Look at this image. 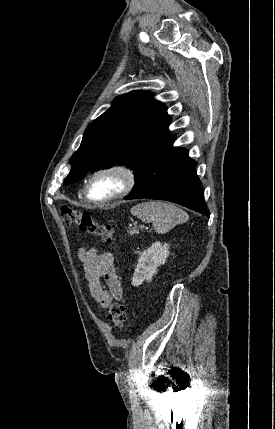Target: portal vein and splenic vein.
I'll return each mask as SVG.
<instances>
[{
  "label": "portal vein and splenic vein",
  "instance_id": "1",
  "mask_svg": "<svg viewBox=\"0 0 275 429\" xmlns=\"http://www.w3.org/2000/svg\"><path fill=\"white\" fill-rule=\"evenodd\" d=\"M140 228H141V229H143V228H144V225H141V226H140Z\"/></svg>",
  "mask_w": 275,
  "mask_h": 429
}]
</instances>
